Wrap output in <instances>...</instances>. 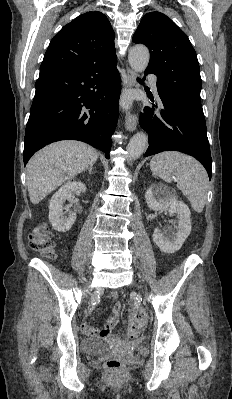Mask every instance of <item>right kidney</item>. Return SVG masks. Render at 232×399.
<instances>
[{
    "label": "right kidney",
    "mask_w": 232,
    "mask_h": 399,
    "mask_svg": "<svg viewBox=\"0 0 232 399\" xmlns=\"http://www.w3.org/2000/svg\"><path fill=\"white\" fill-rule=\"evenodd\" d=\"M75 192H86V186L82 182L65 184L50 200L49 221H51L54 229H57V231H68L76 219V213L69 211V205H65L64 207L65 201L71 200ZM65 213H68V215H65Z\"/></svg>",
    "instance_id": "ca27d5eb"
}]
</instances>
